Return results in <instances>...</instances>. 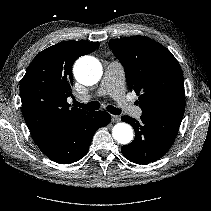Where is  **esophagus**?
Returning a JSON list of instances; mask_svg holds the SVG:
<instances>
[{
    "label": "esophagus",
    "instance_id": "esophagus-1",
    "mask_svg": "<svg viewBox=\"0 0 211 211\" xmlns=\"http://www.w3.org/2000/svg\"><path fill=\"white\" fill-rule=\"evenodd\" d=\"M121 119L119 116H116V115H112V122H119Z\"/></svg>",
    "mask_w": 211,
    "mask_h": 211
}]
</instances>
